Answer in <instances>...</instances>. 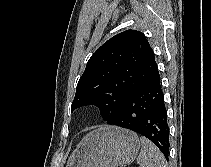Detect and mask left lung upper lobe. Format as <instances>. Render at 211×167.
<instances>
[{
	"instance_id": "obj_1",
	"label": "left lung upper lobe",
	"mask_w": 211,
	"mask_h": 167,
	"mask_svg": "<svg viewBox=\"0 0 211 167\" xmlns=\"http://www.w3.org/2000/svg\"><path fill=\"white\" fill-rule=\"evenodd\" d=\"M156 68L153 50L142 32L126 30L115 35L88 60L71 111L93 104L100 108L103 120L109 121Z\"/></svg>"
}]
</instances>
